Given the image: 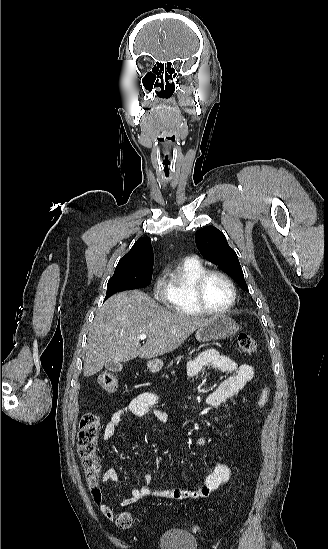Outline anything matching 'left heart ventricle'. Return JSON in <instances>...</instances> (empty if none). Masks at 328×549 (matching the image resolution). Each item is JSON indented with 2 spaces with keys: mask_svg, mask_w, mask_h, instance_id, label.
<instances>
[{
  "mask_svg": "<svg viewBox=\"0 0 328 549\" xmlns=\"http://www.w3.org/2000/svg\"><path fill=\"white\" fill-rule=\"evenodd\" d=\"M232 292L228 282L218 275L209 277L204 286V298L206 301L203 307L210 310H222L231 301Z\"/></svg>",
  "mask_w": 328,
  "mask_h": 549,
  "instance_id": "1",
  "label": "left heart ventricle"
}]
</instances>
